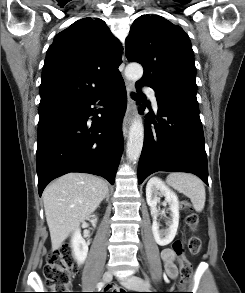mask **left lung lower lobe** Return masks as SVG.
I'll return each instance as SVG.
<instances>
[{
    "instance_id": "1",
    "label": "left lung lower lobe",
    "mask_w": 245,
    "mask_h": 293,
    "mask_svg": "<svg viewBox=\"0 0 245 293\" xmlns=\"http://www.w3.org/2000/svg\"><path fill=\"white\" fill-rule=\"evenodd\" d=\"M146 85L136 83L139 90ZM148 86V85H147ZM158 116L146 115L144 144L138 165V183L157 171L189 172L208 185L207 157L199 108L180 100L159 98ZM143 110L140 111L142 113ZM154 122V127L149 123Z\"/></svg>"
}]
</instances>
